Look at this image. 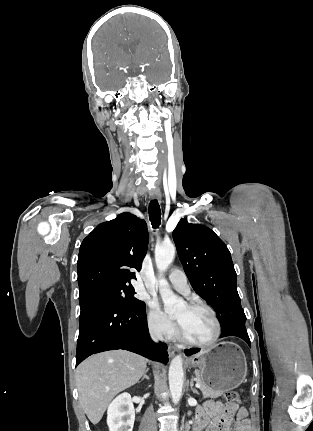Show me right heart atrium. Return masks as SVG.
Segmentation results:
<instances>
[{
    "label": "right heart atrium",
    "mask_w": 313,
    "mask_h": 431,
    "mask_svg": "<svg viewBox=\"0 0 313 431\" xmlns=\"http://www.w3.org/2000/svg\"><path fill=\"white\" fill-rule=\"evenodd\" d=\"M147 324L153 334L161 337H170L175 332L173 323L155 305L149 307Z\"/></svg>",
    "instance_id": "1"
}]
</instances>
